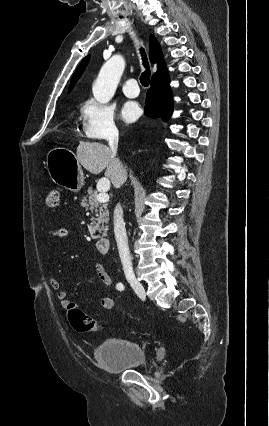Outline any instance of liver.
<instances>
[{"instance_id":"1","label":"liver","mask_w":269,"mask_h":426,"mask_svg":"<svg viewBox=\"0 0 269 426\" xmlns=\"http://www.w3.org/2000/svg\"><path fill=\"white\" fill-rule=\"evenodd\" d=\"M76 157L78 162L90 173L99 174L105 170V177L118 188L127 179V171L111 149L98 142L80 141Z\"/></svg>"}]
</instances>
